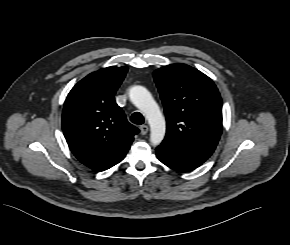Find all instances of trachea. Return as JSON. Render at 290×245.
Returning <instances> with one entry per match:
<instances>
[{"label": "trachea", "instance_id": "1", "mask_svg": "<svg viewBox=\"0 0 290 245\" xmlns=\"http://www.w3.org/2000/svg\"><path fill=\"white\" fill-rule=\"evenodd\" d=\"M130 121L134 124L141 125L144 123V118L140 112H135L132 114Z\"/></svg>", "mask_w": 290, "mask_h": 245}]
</instances>
